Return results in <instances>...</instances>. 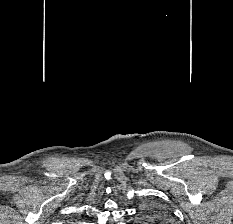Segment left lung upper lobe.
Returning a JSON list of instances; mask_svg holds the SVG:
<instances>
[{
  "instance_id": "5c2ea615",
  "label": "left lung upper lobe",
  "mask_w": 233,
  "mask_h": 224,
  "mask_svg": "<svg viewBox=\"0 0 233 224\" xmlns=\"http://www.w3.org/2000/svg\"><path fill=\"white\" fill-rule=\"evenodd\" d=\"M142 221L147 224H171L172 217L169 211L162 205L148 203L142 210Z\"/></svg>"
}]
</instances>
